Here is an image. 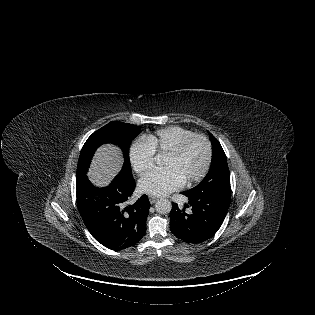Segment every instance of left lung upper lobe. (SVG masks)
Instances as JSON below:
<instances>
[{"label": "left lung upper lobe", "mask_w": 315, "mask_h": 315, "mask_svg": "<svg viewBox=\"0 0 315 315\" xmlns=\"http://www.w3.org/2000/svg\"><path fill=\"white\" fill-rule=\"evenodd\" d=\"M212 143V161L208 174L202 182L190 190L211 191L231 197L230 173L226 155L219 141L209 133Z\"/></svg>", "instance_id": "5c2ea615"}]
</instances>
